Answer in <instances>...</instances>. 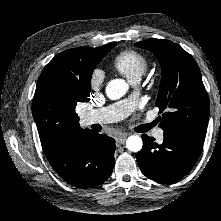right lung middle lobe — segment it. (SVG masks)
Instances as JSON below:
<instances>
[{"mask_svg":"<svg viewBox=\"0 0 221 221\" xmlns=\"http://www.w3.org/2000/svg\"><path fill=\"white\" fill-rule=\"evenodd\" d=\"M115 46V43L106 44L101 56L94 62L88 64V67L83 71L80 80H77V91L82 97V102L88 101V97L91 89V76L96 65L101 61V59Z\"/></svg>","mask_w":221,"mask_h":221,"instance_id":"obj_1","label":"right lung middle lobe"}]
</instances>
